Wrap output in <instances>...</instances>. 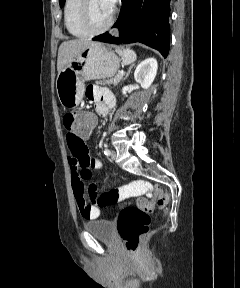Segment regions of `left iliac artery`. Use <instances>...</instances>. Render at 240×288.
Wrapping results in <instances>:
<instances>
[{
	"instance_id": "left-iliac-artery-1",
	"label": "left iliac artery",
	"mask_w": 240,
	"mask_h": 288,
	"mask_svg": "<svg viewBox=\"0 0 240 288\" xmlns=\"http://www.w3.org/2000/svg\"><path fill=\"white\" fill-rule=\"evenodd\" d=\"M104 154H105L106 156H110V155H111V151H110L108 148H105Z\"/></svg>"
}]
</instances>
